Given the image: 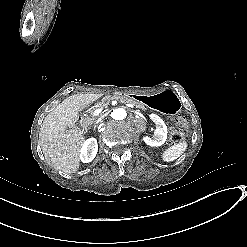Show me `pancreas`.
<instances>
[{"instance_id":"1","label":"pancreas","mask_w":247,"mask_h":247,"mask_svg":"<svg viewBox=\"0 0 247 247\" xmlns=\"http://www.w3.org/2000/svg\"><path fill=\"white\" fill-rule=\"evenodd\" d=\"M115 97H118V99H123L125 102L135 104L137 107L143 108V111H148V104L142 103V101H137V99H133L132 97L125 95V94H110L107 96L104 100H101L99 103H96V106H93L91 109H89V114L91 116V113H94V110L98 108L103 103H106L109 101V99H115ZM104 106V105H103ZM92 118H95L94 116H91Z\"/></svg>"}]
</instances>
